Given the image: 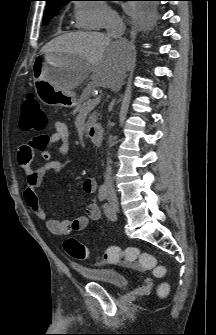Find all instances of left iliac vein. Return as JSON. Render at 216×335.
Wrapping results in <instances>:
<instances>
[{"instance_id":"1","label":"left iliac vein","mask_w":216,"mask_h":335,"mask_svg":"<svg viewBox=\"0 0 216 335\" xmlns=\"http://www.w3.org/2000/svg\"><path fill=\"white\" fill-rule=\"evenodd\" d=\"M111 209H112V220H115L116 219V213L118 212V203L116 200H113L111 202Z\"/></svg>"}]
</instances>
